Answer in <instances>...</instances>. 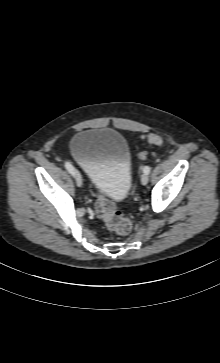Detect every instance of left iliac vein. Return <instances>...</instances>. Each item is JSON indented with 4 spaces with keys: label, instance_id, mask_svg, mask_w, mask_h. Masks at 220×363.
I'll return each mask as SVG.
<instances>
[{
    "label": "left iliac vein",
    "instance_id": "left-iliac-vein-1",
    "mask_svg": "<svg viewBox=\"0 0 220 363\" xmlns=\"http://www.w3.org/2000/svg\"><path fill=\"white\" fill-rule=\"evenodd\" d=\"M148 181H149L148 175L146 173L142 174V176H141V183L143 185H146L148 183Z\"/></svg>",
    "mask_w": 220,
    "mask_h": 363
}]
</instances>
